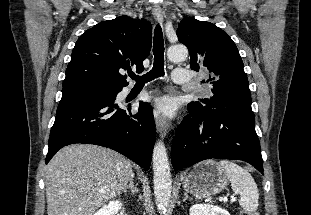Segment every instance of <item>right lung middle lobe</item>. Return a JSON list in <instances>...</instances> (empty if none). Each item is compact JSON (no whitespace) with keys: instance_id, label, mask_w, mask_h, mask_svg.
I'll use <instances>...</instances> for the list:
<instances>
[{"instance_id":"dd1d6c3e","label":"right lung middle lobe","mask_w":311,"mask_h":215,"mask_svg":"<svg viewBox=\"0 0 311 215\" xmlns=\"http://www.w3.org/2000/svg\"><path fill=\"white\" fill-rule=\"evenodd\" d=\"M121 90L122 88L101 84L76 83L63 86L61 100L72 97H83L91 98L100 102H106L111 99L115 101L116 95Z\"/></svg>"}]
</instances>
